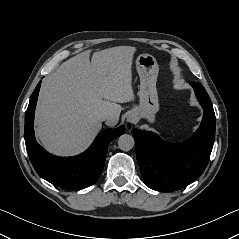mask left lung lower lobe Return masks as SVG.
Listing matches in <instances>:
<instances>
[{"mask_svg": "<svg viewBox=\"0 0 239 239\" xmlns=\"http://www.w3.org/2000/svg\"><path fill=\"white\" fill-rule=\"evenodd\" d=\"M204 109L202 123L195 134L182 143H168L152 132L133 129L136 157L144 183L160 192L186 187L205 170L215 139L216 118L205 88L192 82Z\"/></svg>", "mask_w": 239, "mask_h": 239, "instance_id": "left-lung-lower-lobe-1", "label": "left lung lower lobe"}]
</instances>
